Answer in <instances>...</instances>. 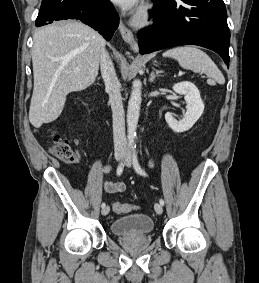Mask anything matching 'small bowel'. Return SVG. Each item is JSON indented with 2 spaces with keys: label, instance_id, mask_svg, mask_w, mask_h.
Returning a JSON list of instances; mask_svg holds the SVG:
<instances>
[{
  "label": "small bowel",
  "instance_id": "obj_1",
  "mask_svg": "<svg viewBox=\"0 0 259 283\" xmlns=\"http://www.w3.org/2000/svg\"><path fill=\"white\" fill-rule=\"evenodd\" d=\"M110 168L111 167L109 165L104 166L103 173L105 174V173L109 172ZM103 187H104V190L107 193H120V192L125 191V189H126V186L123 182H106V181H103Z\"/></svg>",
  "mask_w": 259,
  "mask_h": 283
}]
</instances>
